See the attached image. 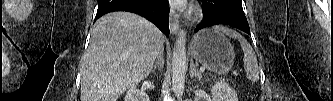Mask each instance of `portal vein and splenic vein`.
Here are the masks:
<instances>
[{"mask_svg":"<svg viewBox=\"0 0 333 101\" xmlns=\"http://www.w3.org/2000/svg\"><path fill=\"white\" fill-rule=\"evenodd\" d=\"M205 70V67H203L202 69H201V71H204Z\"/></svg>","mask_w":333,"mask_h":101,"instance_id":"portal-vein-and-splenic-vein-1","label":"portal vein and splenic vein"}]
</instances>
